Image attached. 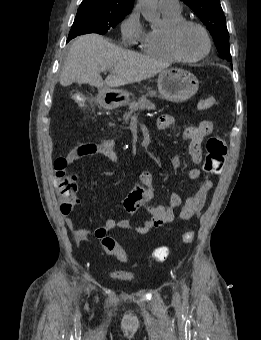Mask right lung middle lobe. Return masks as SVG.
Instances as JSON below:
<instances>
[{
	"label": "right lung middle lobe",
	"mask_w": 261,
	"mask_h": 340,
	"mask_svg": "<svg viewBox=\"0 0 261 340\" xmlns=\"http://www.w3.org/2000/svg\"><path fill=\"white\" fill-rule=\"evenodd\" d=\"M128 13L121 10L92 5H80L69 36L86 33L104 35L108 29L114 28Z\"/></svg>",
	"instance_id": "1"
}]
</instances>
